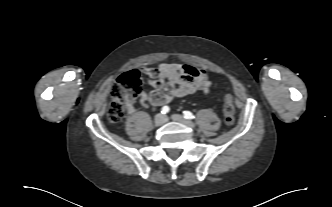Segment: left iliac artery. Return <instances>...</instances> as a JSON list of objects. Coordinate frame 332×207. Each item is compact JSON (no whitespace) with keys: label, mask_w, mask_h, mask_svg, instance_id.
Instances as JSON below:
<instances>
[{"label":"left iliac artery","mask_w":332,"mask_h":207,"mask_svg":"<svg viewBox=\"0 0 332 207\" xmlns=\"http://www.w3.org/2000/svg\"><path fill=\"white\" fill-rule=\"evenodd\" d=\"M183 114H184V117L187 118V119H193L194 118V115L190 111H184Z\"/></svg>","instance_id":"obj_1"}]
</instances>
